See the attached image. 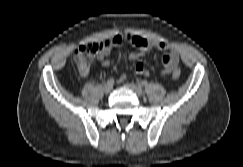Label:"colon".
I'll return each instance as SVG.
<instances>
[{
	"instance_id": "5ec220e1",
	"label": "colon",
	"mask_w": 243,
	"mask_h": 167,
	"mask_svg": "<svg viewBox=\"0 0 243 167\" xmlns=\"http://www.w3.org/2000/svg\"><path fill=\"white\" fill-rule=\"evenodd\" d=\"M101 43H88L78 47L72 56V64L75 69L81 73H86L89 64L95 54V52L100 48ZM181 75L179 69L174 70L172 77L178 79Z\"/></svg>"
}]
</instances>
